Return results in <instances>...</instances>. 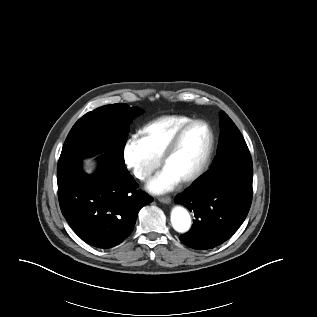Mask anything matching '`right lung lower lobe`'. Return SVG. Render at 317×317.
<instances>
[{
	"label": "right lung lower lobe",
	"mask_w": 317,
	"mask_h": 317,
	"mask_svg": "<svg viewBox=\"0 0 317 317\" xmlns=\"http://www.w3.org/2000/svg\"><path fill=\"white\" fill-rule=\"evenodd\" d=\"M57 183L63 216L83 241L100 249L122 243L139 210L153 201L137 190L124 162L111 154L99 157L93 175L85 174L77 163L59 173Z\"/></svg>",
	"instance_id": "98d812e1"
}]
</instances>
